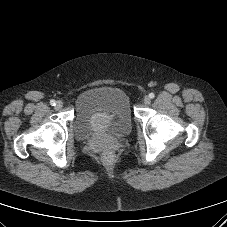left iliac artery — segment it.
Returning a JSON list of instances; mask_svg holds the SVG:
<instances>
[{"mask_svg": "<svg viewBox=\"0 0 227 227\" xmlns=\"http://www.w3.org/2000/svg\"><path fill=\"white\" fill-rule=\"evenodd\" d=\"M149 97H150L151 99H153V98L155 97V94H154V93H150V94H149Z\"/></svg>", "mask_w": 227, "mask_h": 227, "instance_id": "obj_1", "label": "left iliac artery"}]
</instances>
